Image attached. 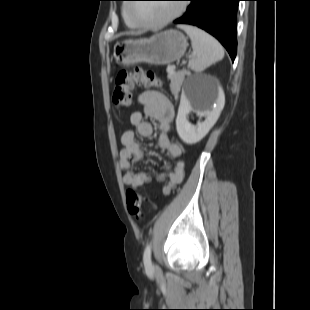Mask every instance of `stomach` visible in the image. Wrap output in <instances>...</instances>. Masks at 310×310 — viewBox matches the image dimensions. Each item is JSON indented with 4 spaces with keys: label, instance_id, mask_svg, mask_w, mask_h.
Masks as SVG:
<instances>
[{
    "label": "stomach",
    "instance_id": "obj_1",
    "mask_svg": "<svg viewBox=\"0 0 310 310\" xmlns=\"http://www.w3.org/2000/svg\"><path fill=\"white\" fill-rule=\"evenodd\" d=\"M187 46V38L183 33L168 30L150 38L117 42L114 45V57L116 62L123 66L138 63L167 65L180 59Z\"/></svg>",
    "mask_w": 310,
    "mask_h": 310
}]
</instances>
